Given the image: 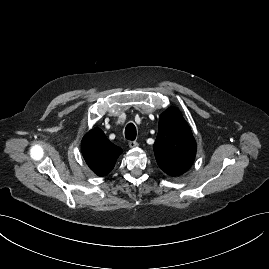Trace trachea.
<instances>
[{
  "label": "trachea",
  "instance_id": "1",
  "mask_svg": "<svg viewBox=\"0 0 269 269\" xmlns=\"http://www.w3.org/2000/svg\"><path fill=\"white\" fill-rule=\"evenodd\" d=\"M125 137L128 140H135L136 138V127L133 123H129L125 128Z\"/></svg>",
  "mask_w": 269,
  "mask_h": 269
}]
</instances>
